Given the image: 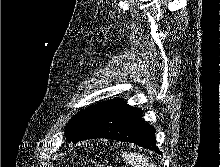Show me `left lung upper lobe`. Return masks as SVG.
<instances>
[{
	"label": "left lung upper lobe",
	"mask_w": 220,
	"mask_h": 167,
	"mask_svg": "<svg viewBox=\"0 0 220 167\" xmlns=\"http://www.w3.org/2000/svg\"><path fill=\"white\" fill-rule=\"evenodd\" d=\"M111 102L112 101L99 102L96 105L88 107L85 110L75 114L65 129L67 140L73 142L80 139Z\"/></svg>",
	"instance_id": "1"
}]
</instances>
